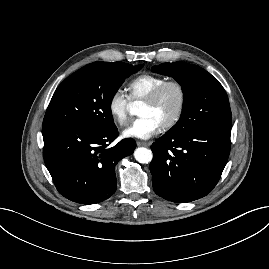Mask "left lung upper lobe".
Here are the masks:
<instances>
[{"label": "left lung upper lobe", "instance_id": "obj_1", "mask_svg": "<svg viewBox=\"0 0 269 269\" xmlns=\"http://www.w3.org/2000/svg\"><path fill=\"white\" fill-rule=\"evenodd\" d=\"M152 72L173 77L184 93L179 121L167 132L183 135L205 127H231V110L223 86L203 68L183 63H163Z\"/></svg>", "mask_w": 269, "mask_h": 269}]
</instances>
